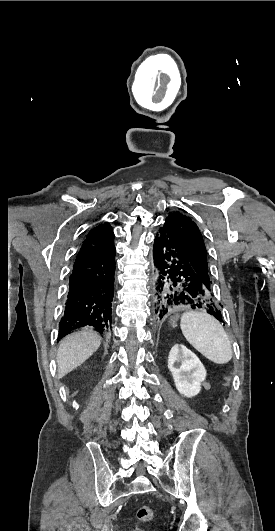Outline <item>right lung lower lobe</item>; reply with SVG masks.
<instances>
[{
	"label": "right lung lower lobe",
	"mask_w": 275,
	"mask_h": 531,
	"mask_svg": "<svg viewBox=\"0 0 275 531\" xmlns=\"http://www.w3.org/2000/svg\"><path fill=\"white\" fill-rule=\"evenodd\" d=\"M115 252L111 227L99 225L86 236L70 275L59 339L85 326L101 334L110 329Z\"/></svg>",
	"instance_id": "1"
}]
</instances>
